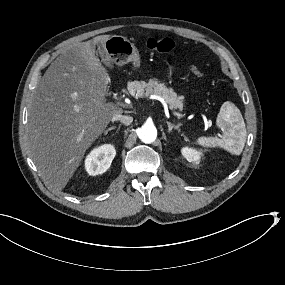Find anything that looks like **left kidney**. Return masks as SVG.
I'll use <instances>...</instances> for the list:
<instances>
[{
  "mask_svg": "<svg viewBox=\"0 0 285 285\" xmlns=\"http://www.w3.org/2000/svg\"><path fill=\"white\" fill-rule=\"evenodd\" d=\"M182 153L184 157L190 162L197 160L199 157V154L195 153L192 149L188 148H184L182 150Z\"/></svg>",
  "mask_w": 285,
  "mask_h": 285,
  "instance_id": "1",
  "label": "left kidney"
}]
</instances>
